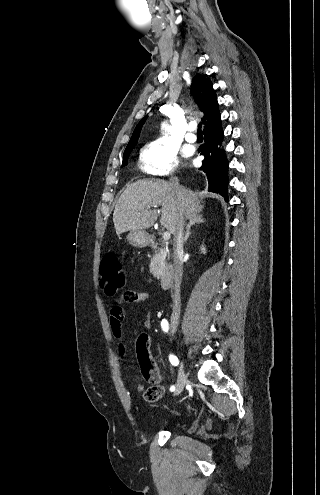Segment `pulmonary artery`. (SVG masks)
Here are the masks:
<instances>
[{"instance_id": "1", "label": "pulmonary artery", "mask_w": 320, "mask_h": 495, "mask_svg": "<svg viewBox=\"0 0 320 495\" xmlns=\"http://www.w3.org/2000/svg\"><path fill=\"white\" fill-rule=\"evenodd\" d=\"M193 130H194V126L193 125H190L189 128H188V132L185 136V139L188 141V142H195L197 140V137L196 135L193 133Z\"/></svg>"}]
</instances>
